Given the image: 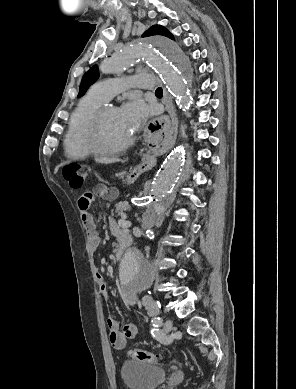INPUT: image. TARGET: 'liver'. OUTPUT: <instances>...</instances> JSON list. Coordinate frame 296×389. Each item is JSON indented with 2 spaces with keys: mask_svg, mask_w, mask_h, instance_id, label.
I'll list each match as a JSON object with an SVG mask.
<instances>
[{
  "mask_svg": "<svg viewBox=\"0 0 296 389\" xmlns=\"http://www.w3.org/2000/svg\"><path fill=\"white\" fill-rule=\"evenodd\" d=\"M95 161L98 163L110 164L118 162L119 160L114 158H96Z\"/></svg>",
  "mask_w": 296,
  "mask_h": 389,
  "instance_id": "liver-1",
  "label": "liver"
}]
</instances>
